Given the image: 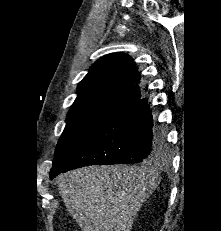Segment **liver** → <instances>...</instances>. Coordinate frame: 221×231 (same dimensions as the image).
<instances>
[{"mask_svg": "<svg viewBox=\"0 0 221 231\" xmlns=\"http://www.w3.org/2000/svg\"><path fill=\"white\" fill-rule=\"evenodd\" d=\"M159 173L146 166H90L58 177L60 195L83 231H131L157 188Z\"/></svg>", "mask_w": 221, "mask_h": 231, "instance_id": "1", "label": "liver"}]
</instances>
